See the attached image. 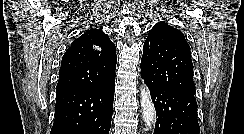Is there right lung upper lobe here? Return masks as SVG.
I'll list each match as a JSON object with an SVG mask.
<instances>
[{"label": "right lung upper lobe", "instance_id": "1", "mask_svg": "<svg viewBox=\"0 0 244 134\" xmlns=\"http://www.w3.org/2000/svg\"><path fill=\"white\" fill-rule=\"evenodd\" d=\"M116 47L98 29L74 40L62 58L56 93L102 84L115 76Z\"/></svg>", "mask_w": 244, "mask_h": 134}]
</instances>
